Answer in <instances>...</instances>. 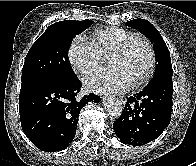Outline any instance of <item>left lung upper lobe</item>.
<instances>
[{"label":"left lung upper lobe","mask_w":196,"mask_h":166,"mask_svg":"<svg viewBox=\"0 0 196 166\" xmlns=\"http://www.w3.org/2000/svg\"><path fill=\"white\" fill-rule=\"evenodd\" d=\"M126 25L138 29L153 43L157 64L152 80L172 76L173 69L171 65L170 53L158 30L145 19H134L126 22Z\"/></svg>","instance_id":"5c2ea615"}]
</instances>
